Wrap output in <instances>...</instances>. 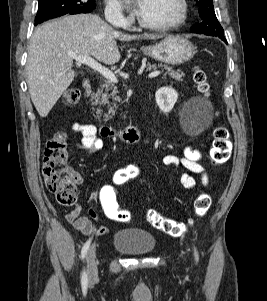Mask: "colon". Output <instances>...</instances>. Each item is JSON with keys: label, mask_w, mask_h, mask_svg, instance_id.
I'll return each mask as SVG.
<instances>
[{"label": "colon", "mask_w": 267, "mask_h": 301, "mask_svg": "<svg viewBox=\"0 0 267 301\" xmlns=\"http://www.w3.org/2000/svg\"><path fill=\"white\" fill-rule=\"evenodd\" d=\"M193 79L201 93H208L209 85L203 70L195 68ZM80 99V92L76 88H69L63 94V101L68 106H74ZM232 151V142L226 127L219 125L215 128L213 142L210 148V160L215 165L225 163ZM69 159L67 148V136L58 131L46 142L44 150L42 173L45 185L53 193L62 205H72L77 199V187L75 179L69 169L65 167ZM141 174L137 166H126L115 174L111 184L104 185L98 192L97 203L106 218L116 222L129 220L130 214L124 210L119 201L120 190ZM211 197L206 193H200L194 201V215L196 218L204 217L211 207ZM146 218L156 229L180 236L186 230V225L169 219L150 209Z\"/></svg>", "instance_id": "1"}]
</instances>
